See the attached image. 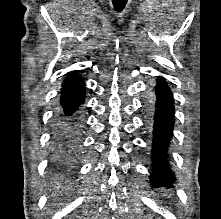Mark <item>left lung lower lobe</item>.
<instances>
[{
	"instance_id": "obj_1",
	"label": "left lung lower lobe",
	"mask_w": 221,
	"mask_h": 219,
	"mask_svg": "<svg viewBox=\"0 0 221 219\" xmlns=\"http://www.w3.org/2000/svg\"><path fill=\"white\" fill-rule=\"evenodd\" d=\"M156 105L153 131L152 159L153 168L150 177L153 187H170L175 176L169 168L167 151L174 127L173 94L163 78H158L155 87Z\"/></svg>"
}]
</instances>
